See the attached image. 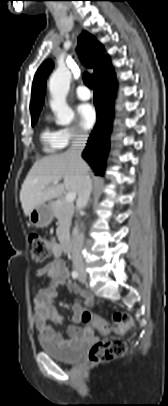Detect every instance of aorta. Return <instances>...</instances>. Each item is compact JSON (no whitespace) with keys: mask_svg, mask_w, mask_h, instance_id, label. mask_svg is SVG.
<instances>
[{"mask_svg":"<svg viewBox=\"0 0 168 406\" xmlns=\"http://www.w3.org/2000/svg\"><path fill=\"white\" fill-rule=\"evenodd\" d=\"M70 82L71 72L65 66H59L49 80L50 107L56 115V122L60 125H69L74 118V112L66 102Z\"/></svg>","mask_w":168,"mask_h":406,"instance_id":"obj_1","label":"aorta"}]
</instances>
